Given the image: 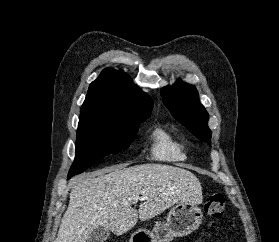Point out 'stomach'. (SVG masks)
Instances as JSON below:
<instances>
[{
  "mask_svg": "<svg viewBox=\"0 0 279 242\" xmlns=\"http://www.w3.org/2000/svg\"><path fill=\"white\" fill-rule=\"evenodd\" d=\"M202 219L203 213L195 203L180 201L171 208L166 222H157L152 232L147 229L135 231L130 242H170L198 229Z\"/></svg>",
  "mask_w": 279,
  "mask_h": 242,
  "instance_id": "1",
  "label": "stomach"
}]
</instances>
